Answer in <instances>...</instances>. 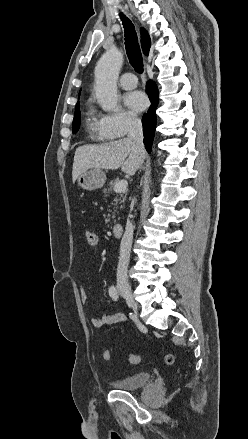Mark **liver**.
Masks as SVG:
<instances>
[{"mask_svg": "<svg viewBox=\"0 0 248 439\" xmlns=\"http://www.w3.org/2000/svg\"><path fill=\"white\" fill-rule=\"evenodd\" d=\"M141 165L140 153L132 141L122 138L100 145H83L76 149L72 170L73 183L89 169L115 170L133 175Z\"/></svg>", "mask_w": 248, "mask_h": 439, "instance_id": "liver-1", "label": "liver"}]
</instances>
